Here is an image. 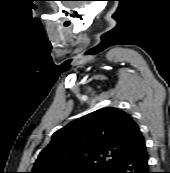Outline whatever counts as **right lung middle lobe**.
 Here are the masks:
<instances>
[{
  "label": "right lung middle lobe",
  "mask_w": 170,
  "mask_h": 173,
  "mask_svg": "<svg viewBox=\"0 0 170 173\" xmlns=\"http://www.w3.org/2000/svg\"><path fill=\"white\" fill-rule=\"evenodd\" d=\"M106 169H87V170H78L72 171L71 173H105Z\"/></svg>",
  "instance_id": "dd1d6c3e"
}]
</instances>
